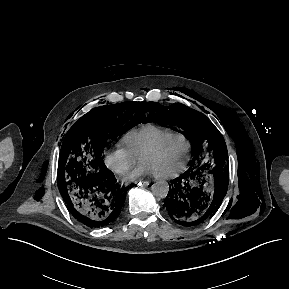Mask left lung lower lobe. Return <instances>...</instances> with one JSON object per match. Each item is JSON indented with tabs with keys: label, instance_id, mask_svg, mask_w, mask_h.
<instances>
[{
	"label": "left lung lower lobe",
	"instance_id": "obj_1",
	"mask_svg": "<svg viewBox=\"0 0 289 289\" xmlns=\"http://www.w3.org/2000/svg\"><path fill=\"white\" fill-rule=\"evenodd\" d=\"M210 173L212 176H209ZM229 182L228 165L190 166L173 179L164 202L167 214L183 226L198 225L211 218L226 195Z\"/></svg>",
	"mask_w": 289,
	"mask_h": 289
}]
</instances>
